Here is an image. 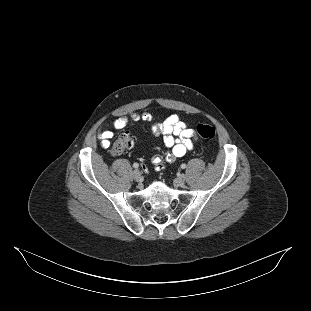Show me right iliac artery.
<instances>
[{
	"label": "right iliac artery",
	"instance_id": "right-iliac-artery-1",
	"mask_svg": "<svg viewBox=\"0 0 311 311\" xmlns=\"http://www.w3.org/2000/svg\"><path fill=\"white\" fill-rule=\"evenodd\" d=\"M133 167L137 169L139 167V164L138 163H134Z\"/></svg>",
	"mask_w": 311,
	"mask_h": 311
}]
</instances>
